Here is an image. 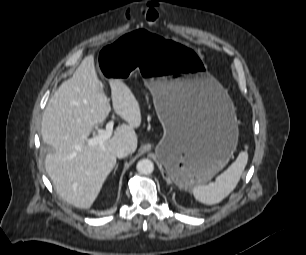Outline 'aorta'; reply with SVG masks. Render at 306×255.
I'll return each instance as SVG.
<instances>
[{"label":"aorta","instance_id":"obj_1","mask_svg":"<svg viewBox=\"0 0 306 255\" xmlns=\"http://www.w3.org/2000/svg\"><path fill=\"white\" fill-rule=\"evenodd\" d=\"M136 169L140 174L148 175L153 172L154 164L149 159H141L138 161Z\"/></svg>","mask_w":306,"mask_h":255}]
</instances>
